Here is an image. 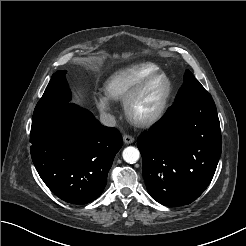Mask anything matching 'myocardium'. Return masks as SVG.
<instances>
[{
    "instance_id": "obj_1",
    "label": "myocardium",
    "mask_w": 246,
    "mask_h": 246,
    "mask_svg": "<svg viewBox=\"0 0 246 246\" xmlns=\"http://www.w3.org/2000/svg\"><path fill=\"white\" fill-rule=\"evenodd\" d=\"M164 78L167 82V91L158 106V108L152 112L151 114L141 116L135 112V104L138 99L141 97L146 88L156 79ZM173 92V84L169 76L164 72H157L152 75H149L145 79H143L139 84H137L127 95L124 100V110L129 118L134 124L138 126H150L156 123L158 120L162 118L164 113L167 110L168 104L170 102L171 96Z\"/></svg>"
}]
</instances>
